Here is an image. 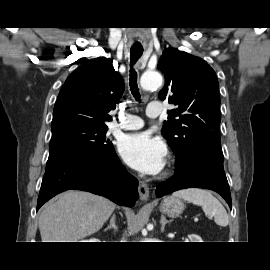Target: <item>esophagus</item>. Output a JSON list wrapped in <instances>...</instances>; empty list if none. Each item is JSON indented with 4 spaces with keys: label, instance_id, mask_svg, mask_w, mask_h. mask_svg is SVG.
I'll list each match as a JSON object with an SVG mask.
<instances>
[{
    "label": "esophagus",
    "instance_id": "34e87169",
    "mask_svg": "<svg viewBox=\"0 0 270 270\" xmlns=\"http://www.w3.org/2000/svg\"><path fill=\"white\" fill-rule=\"evenodd\" d=\"M138 192H139V196L141 201H147L149 198V187L148 185L143 182V181H139V185H138Z\"/></svg>",
    "mask_w": 270,
    "mask_h": 270
}]
</instances>
